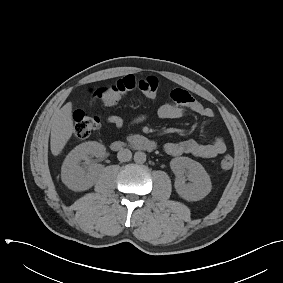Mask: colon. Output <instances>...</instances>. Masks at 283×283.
I'll return each mask as SVG.
<instances>
[{"instance_id": "5ec220e1", "label": "colon", "mask_w": 283, "mask_h": 283, "mask_svg": "<svg viewBox=\"0 0 283 283\" xmlns=\"http://www.w3.org/2000/svg\"><path fill=\"white\" fill-rule=\"evenodd\" d=\"M159 82L156 77L149 76L136 79L133 75H127L116 83L104 88L100 92V99L107 105L115 104L126 93L139 90L147 96H154L158 90ZM74 135L79 139H85L96 132L101 121L97 116L90 115L82 110H77L73 115ZM233 166V158L225 155L220 161L222 170H229Z\"/></svg>"}]
</instances>
